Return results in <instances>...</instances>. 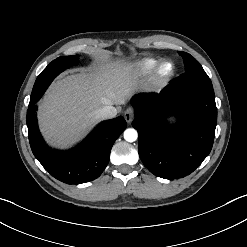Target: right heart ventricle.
Returning <instances> with one entry per match:
<instances>
[{
  "label": "right heart ventricle",
  "instance_id": "obj_1",
  "mask_svg": "<svg viewBox=\"0 0 247 247\" xmlns=\"http://www.w3.org/2000/svg\"><path fill=\"white\" fill-rule=\"evenodd\" d=\"M159 62H160V60L157 58H153V57L143 58V59L135 62L131 66V70L136 75L147 76L155 70V68L159 64Z\"/></svg>",
  "mask_w": 247,
  "mask_h": 247
}]
</instances>
